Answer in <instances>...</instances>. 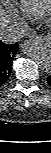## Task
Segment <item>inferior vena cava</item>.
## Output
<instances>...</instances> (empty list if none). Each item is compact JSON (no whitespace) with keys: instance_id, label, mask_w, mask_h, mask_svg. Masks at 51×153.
<instances>
[{"instance_id":"602c4592","label":"inferior vena cava","mask_w":51,"mask_h":153,"mask_svg":"<svg viewBox=\"0 0 51 153\" xmlns=\"http://www.w3.org/2000/svg\"><path fill=\"white\" fill-rule=\"evenodd\" d=\"M25 33L23 29L18 26L10 25L1 29L0 38L4 43L14 44L22 37H24Z\"/></svg>"}]
</instances>
